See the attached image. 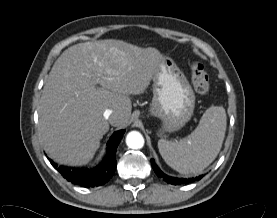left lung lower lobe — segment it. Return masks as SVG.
Returning a JSON list of instances; mask_svg holds the SVG:
<instances>
[{"instance_id":"left-lung-lower-lobe-1","label":"left lung lower lobe","mask_w":277,"mask_h":218,"mask_svg":"<svg viewBox=\"0 0 277 218\" xmlns=\"http://www.w3.org/2000/svg\"><path fill=\"white\" fill-rule=\"evenodd\" d=\"M151 163H152V167H153L155 173L160 178H163L167 183H170V184H173V185L192 183V182H194L196 180H199L203 177V175H200V176L195 177V178L184 179V178H175V177L167 176L158 168V166L155 164L154 160H151Z\"/></svg>"}]
</instances>
